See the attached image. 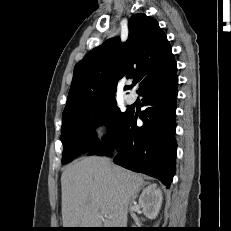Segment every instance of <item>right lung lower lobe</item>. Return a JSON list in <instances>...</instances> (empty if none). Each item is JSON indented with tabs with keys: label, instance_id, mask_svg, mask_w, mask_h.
I'll return each instance as SVG.
<instances>
[{
	"label": "right lung lower lobe",
	"instance_id": "obj_1",
	"mask_svg": "<svg viewBox=\"0 0 231 231\" xmlns=\"http://www.w3.org/2000/svg\"><path fill=\"white\" fill-rule=\"evenodd\" d=\"M177 86L175 74L142 88L138 94L143 97V106L146 107L139 116L143 125L137 127V116L129 111L117 132L90 154L108 155L116 143L120 150L114 163L155 177L169 188L176 171Z\"/></svg>",
	"mask_w": 231,
	"mask_h": 231
}]
</instances>
